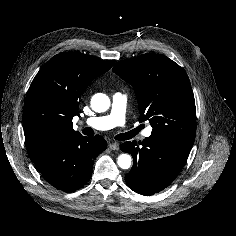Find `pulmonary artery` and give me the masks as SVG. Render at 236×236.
Here are the masks:
<instances>
[{"label": "pulmonary artery", "mask_w": 236, "mask_h": 236, "mask_svg": "<svg viewBox=\"0 0 236 236\" xmlns=\"http://www.w3.org/2000/svg\"><path fill=\"white\" fill-rule=\"evenodd\" d=\"M128 98L126 95L116 93L112 98L110 112L103 116L92 117L85 120V123L99 130H108L116 126H122L125 123V113L127 108ZM150 128L142 132L143 137L151 136Z\"/></svg>", "instance_id": "pulmonary-artery-1"}]
</instances>
